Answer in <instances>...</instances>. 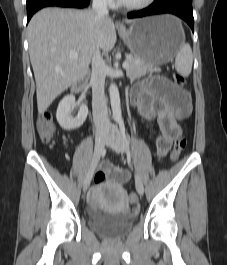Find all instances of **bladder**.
I'll return each mask as SVG.
<instances>
[{"label":"bladder","instance_id":"bladder-1","mask_svg":"<svg viewBox=\"0 0 227 265\" xmlns=\"http://www.w3.org/2000/svg\"><path fill=\"white\" fill-rule=\"evenodd\" d=\"M133 216L110 218L106 215L91 212L88 217L89 227L101 237L111 240L121 239L132 229Z\"/></svg>","mask_w":227,"mask_h":265}]
</instances>
